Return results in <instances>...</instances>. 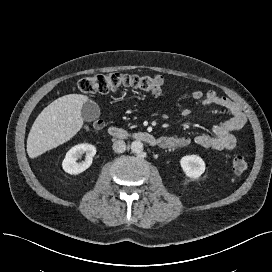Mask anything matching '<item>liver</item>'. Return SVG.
I'll return each mask as SVG.
<instances>
[{"label":"liver","mask_w":272,"mask_h":272,"mask_svg":"<svg viewBox=\"0 0 272 272\" xmlns=\"http://www.w3.org/2000/svg\"><path fill=\"white\" fill-rule=\"evenodd\" d=\"M87 101L86 95L68 94L45 107L29 132L28 156L36 158L73 138L82 128V107Z\"/></svg>","instance_id":"obj_1"}]
</instances>
